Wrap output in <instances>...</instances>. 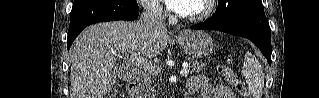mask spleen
<instances>
[{
    "label": "spleen",
    "instance_id": "3e777b00",
    "mask_svg": "<svg viewBox=\"0 0 319 98\" xmlns=\"http://www.w3.org/2000/svg\"><path fill=\"white\" fill-rule=\"evenodd\" d=\"M242 74L253 98H262L264 87L263 70L257 58L250 52H247L244 56Z\"/></svg>",
    "mask_w": 319,
    "mask_h": 98
}]
</instances>
